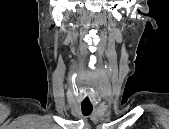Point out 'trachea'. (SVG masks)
<instances>
[{"mask_svg": "<svg viewBox=\"0 0 169 129\" xmlns=\"http://www.w3.org/2000/svg\"><path fill=\"white\" fill-rule=\"evenodd\" d=\"M81 109H82V114L84 116L90 115L92 113V111H93V107L92 106L82 105Z\"/></svg>", "mask_w": 169, "mask_h": 129, "instance_id": "trachea-1", "label": "trachea"}]
</instances>
